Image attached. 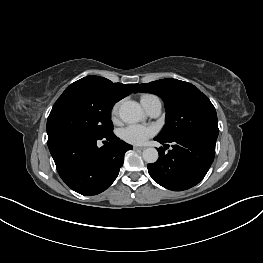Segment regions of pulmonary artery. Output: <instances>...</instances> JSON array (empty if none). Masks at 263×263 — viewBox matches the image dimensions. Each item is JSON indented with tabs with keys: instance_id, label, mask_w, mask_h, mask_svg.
Here are the masks:
<instances>
[{
	"instance_id": "obj_1",
	"label": "pulmonary artery",
	"mask_w": 263,
	"mask_h": 263,
	"mask_svg": "<svg viewBox=\"0 0 263 263\" xmlns=\"http://www.w3.org/2000/svg\"><path fill=\"white\" fill-rule=\"evenodd\" d=\"M141 104L150 116L157 117L160 115L162 109V102L159 97L151 95L141 100Z\"/></svg>"
}]
</instances>
